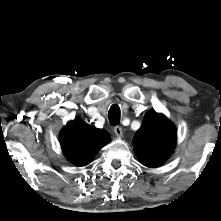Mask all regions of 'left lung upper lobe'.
<instances>
[{
  "label": "left lung upper lobe",
  "instance_id": "left-lung-upper-lobe-1",
  "mask_svg": "<svg viewBox=\"0 0 221 221\" xmlns=\"http://www.w3.org/2000/svg\"><path fill=\"white\" fill-rule=\"evenodd\" d=\"M176 130L162 114L148 112L134 135L133 145L139 161L147 167L161 166L175 148Z\"/></svg>",
  "mask_w": 221,
  "mask_h": 221
}]
</instances>
